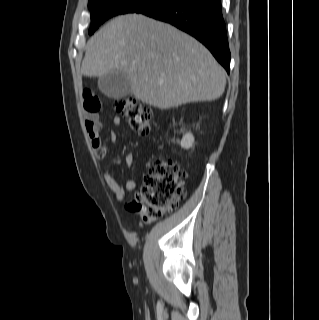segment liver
Returning a JSON list of instances; mask_svg holds the SVG:
<instances>
[{
  "label": "liver",
  "instance_id": "6515ba94",
  "mask_svg": "<svg viewBox=\"0 0 319 320\" xmlns=\"http://www.w3.org/2000/svg\"><path fill=\"white\" fill-rule=\"evenodd\" d=\"M113 71L127 75L135 98L159 109L216 100L226 85L224 69L201 43L141 14L114 18L87 42L82 74Z\"/></svg>",
  "mask_w": 319,
  "mask_h": 320
}]
</instances>
